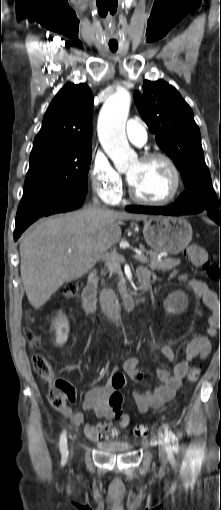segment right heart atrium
Masks as SVG:
<instances>
[{
	"label": "right heart atrium",
	"mask_w": 221,
	"mask_h": 510,
	"mask_svg": "<svg viewBox=\"0 0 221 510\" xmlns=\"http://www.w3.org/2000/svg\"><path fill=\"white\" fill-rule=\"evenodd\" d=\"M89 175L93 190L105 203L113 204L118 200L123 189L122 177L105 154H93Z\"/></svg>",
	"instance_id": "obj_1"
}]
</instances>
